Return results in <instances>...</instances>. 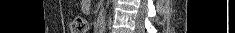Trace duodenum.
Listing matches in <instances>:
<instances>
[{
  "label": "duodenum",
  "mask_w": 235,
  "mask_h": 33,
  "mask_svg": "<svg viewBox=\"0 0 235 33\" xmlns=\"http://www.w3.org/2000/svg\"><path fill=\"white\" fill-rule=\"evenodd\" d=\"M98 27H99V33H103L105 30V23L102 19L99 20Z\"/></svg>",
  "instance_id": "duodenum-1"
}]
</instances>
